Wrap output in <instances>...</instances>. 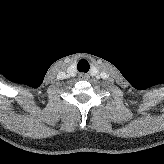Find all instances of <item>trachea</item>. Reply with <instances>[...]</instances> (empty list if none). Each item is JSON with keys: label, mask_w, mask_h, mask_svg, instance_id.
<instances>
[{"label": "trachea", "mask_w": 164, "mask_h": 164, "mask_svg": "<svg viewBox=\"0 0 164 164\" xmlns=\"http://www.w3.org/2000/svg\"><path fill=\"white\" fill-rule=\"evenodd\" d=\"M90 65L87 60L81 59L77 64V69L79 72L87 73L89 71Z\"/></svg>", "instance_id": "trachea-1"}]
</instances>
